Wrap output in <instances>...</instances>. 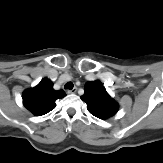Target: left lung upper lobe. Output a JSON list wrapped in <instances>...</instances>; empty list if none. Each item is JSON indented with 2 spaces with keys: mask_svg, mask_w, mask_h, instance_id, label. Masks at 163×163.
Returning a JSON list of instances; mask_svg holds the SVG:
<instances>
[{
  "mask_svg": "<svg viewBox=\"0 0 163 163\" xmlns=\"http://www.w3.org/2000/svg\"><path fill=\"white\" fill-rule=\"evenodd\" d=\"M84 91L81 99L86 102L87 109L92 115L100 119H107L117 113L116 102L100 81L87 82Z\"/></svg>",
  "mask_w": 163,
  "mask_h": 163,
  "instance_id": "obj_1",
  "label": "left lung upper lobe"
}]
</instances>
